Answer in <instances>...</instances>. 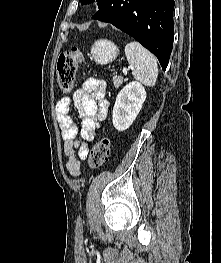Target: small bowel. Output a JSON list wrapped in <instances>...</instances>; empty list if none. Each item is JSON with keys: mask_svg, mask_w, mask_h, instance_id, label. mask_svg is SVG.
<instances>
[{"mask_svg": "<svg viewBox=\"0 0 221 263\" xmlns=\"http://www.w3.org/2000/svg\"><path fill=\"white\" fill-rule=\"evenodd\" d=\"M71 103L79 114L80 128L70 116ZM107 111L108 101L105 98V84L98 79L84 81L71 97H63L57 103V119L64 141L63 151L67 157L66 170L71 176H80L81 162L87 158L89 153L87 144L94 139L99 124L105 119Z\"/></svg>", "mask_w": 221, "mask_h": 263, "instance_id": "c3829d8e", "label": "small bowel"}]
</instances>
